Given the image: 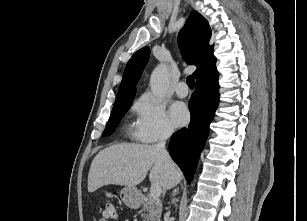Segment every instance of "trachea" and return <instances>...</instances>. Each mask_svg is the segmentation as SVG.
I'll return each instance as SVG.
<instances>
[{"instance_id": "trachea-1", "label": "trachea", "mask_w": 307, "mask_h": 221, "mask_svg": "<svg viewBox=\"0 0 307 221\" xmlns=\"http://www.w3.org/2000/svg\"><path fill=\"white\" fill-rule=\"evenodd\" d=\"M186 83L190 89H194L195 79L193 76H188L186 79Z\"/></svg>"}]
</instances>
